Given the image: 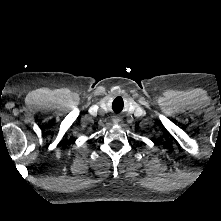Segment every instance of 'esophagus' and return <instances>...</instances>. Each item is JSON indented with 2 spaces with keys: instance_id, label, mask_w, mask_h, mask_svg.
<instances>
[{
  "instance_id": "obj_1",
  "label": "esophagus",
  "mask_w": 221,
  "mask_h": 221,
  "mask_svg": "<svg viewBox=\"0 0 221 221\" xmlns=\"http://www.w3.org/2000/svg\"><path fill=\"white\" fill-rule=\"evenodd\" d=\"M120 121V119L118 117L113 118V122L114 124H118Z\"/></svg>"
}]
</instances>
